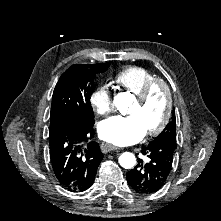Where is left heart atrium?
<instances>
[{
  "instance_id": "39dd6f15",
  "label": "left heart atrium",
  "mask_w": 221,
  "mask_h": 221,
  "mask_svg": "<svg viewBox=\"0 0 221 221\" xmlns=\"http://www.w3.org/2000/svg\"><path fill=\"white\" fill-rule=\"evenodd\" d=\"M99 134L108 143L125 146L140 141L146 130L136 116H113L99 125Z\"/></svg>"
}]
</instances>
